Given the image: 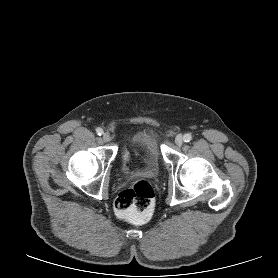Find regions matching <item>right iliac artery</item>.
I'll use <instances>...</instances> for the list:
<instances>
[{
  "mask_svg": "<svg viewBox=\"0 0 278 278\" xmlns=\"http://www.w3.org/2000/svg\"><path fill=\"white\" fill-rule=\"evenodd\" d=\"M96 133L101 136L103 134V129L102 128H97Z\"/></svg>",
  "mask_w": 278,
  "mask_h": 278,
  "instance_id": "1",
  "label": "right iliac artery"
}]
</instances>
